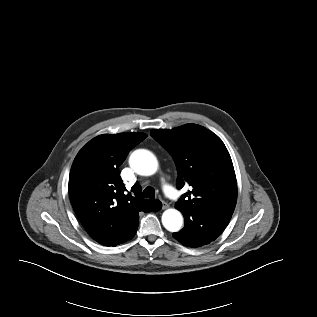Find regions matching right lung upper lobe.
Masks as SVG:
<instances>
[{
  "label": "right lung upper lobe",
  "mask_w": 317,
  "mask_h": 317,
  "mask_svg": "<svg viewBox=\"0 0 317 317\" xmlns=\"http://www.w3.org/2000/svg\"><path fill=\"white\" fill-rule=\"evenodd\" d=\"M147 137L144 133L103 134L77 154L69 176L73 209L89 235L101 237L105 246L124 243L146 212L158 200L140 198V187L127 193L119 166L129 151Z\"/></svg>",
  "instance_id": "1"
}]
</instances>
